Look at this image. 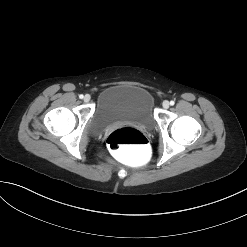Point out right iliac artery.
<instances>
[{
  "label": "right iliac artery",
  "mask_w": 247,
  "mask_h": 247,
  "mask_svg": "<svg viewBox=\"0 0 247 247\" xmlns=\"http://www.w3.org/2000/svg\"><path fill=\"white\" fill-rule=\"evenodd\" d=\"M79 98H80V99H83V98H84V96H83L82 94H80V95H79Z\"/></svg>",
  "instance_id": "1"
}]
</instances>
